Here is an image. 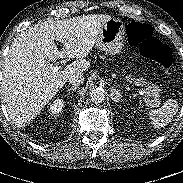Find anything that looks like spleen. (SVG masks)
Masks as SVG:
<instances>
[{"mask_svg": "<svg viewBox=\"0 0 183 183\" xmlns=\"http://www.w3.org/2000/svg\"><path fill=\"white\" fill-rule=\"evenodd\" d=\"M179 105L175 99H167L161 108L153 109L147 113L150 124L154 129L167 126L178 112Z\"/></svg>", "mask_w": 183, "mask_h": 183, "instance_id": "1", "label": "spleen"}]
</instances>
